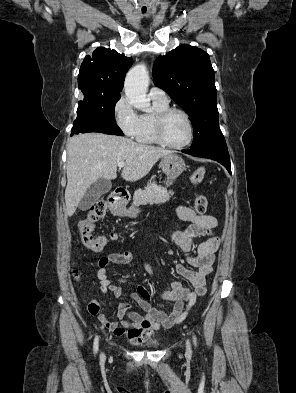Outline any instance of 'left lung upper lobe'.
Masks as SVG:
<instances>
[{"mask_svg":"<svg viewBox=\"0 0 296 393\" xmlns=\"http://www.w3.org/2000/svg\"><path fill=\"white\" fill-rule=\"evenodd\" d=\"M154 84L190 116L194 128L192 150L226 145L219 127L214 70L207 52L182 45L157 58Z\"/></svg>","mask_w":296,"mask_h":393,"instance_id":"1","label":"left lung upper lobe"}]
</instances>
